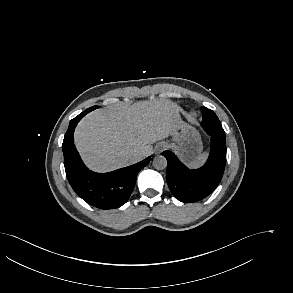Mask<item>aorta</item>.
I'll return each instance as SVG.
<instances>
[{"mask_svg": "<svg viewBox=\"0 0 293 293\" xmlns=\"http://www.w3.org/2000/svg\"><path fill=\"white\" fill-rule=\"evenodd\" d=\"M153 166L157 170H163L167 167V160L164 156L159 155L153 159Z\"/></svg>", "mask_w": 293, "mask_h": 293, "instance_id": "aorta-1", "label": "aorta"}]
</instances>
